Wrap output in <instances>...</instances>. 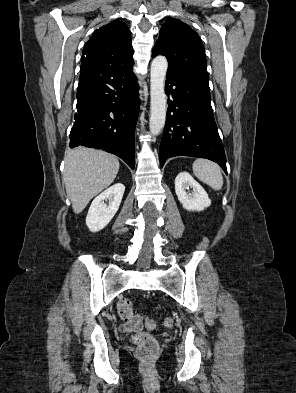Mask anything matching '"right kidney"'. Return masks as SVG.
<instances>
[{
	"label": "right kidney",
	"instance_id": "obj_1",
	"mask_svg": "<svg viewBox=\"0 0 296 393\" xmlns=\"http://www.w3.org/2000/svg\"><path fill=\"white\" fill-rule=\"evenodd\" d=\"M124 191L125 186L116 183L93 200L86 217V225L91 232H98L109 224L119 209ZM105 200H109L108 205Z\"/></svg>",
	"mask_w": 296,
	"mask_h": 393
}]
</instances>
